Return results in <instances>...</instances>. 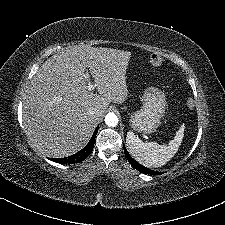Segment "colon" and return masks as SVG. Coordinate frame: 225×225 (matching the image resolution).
Returning a JSON list of instances; mask_svg holds the SVG:
<instances>
[{"mask_svg":"<svg viewBox=\"0 0 225 225\" xmlns=\"http://www.w3.org/2000/svg\"><path fill=\"white\" fill-rule=\"evenodd\" d=\"M150 62L152 65L154 66H160L162 64V59L160 56L158 55H153L151 58H150Z\"/></svg>","mask_w":225,"mask_h":225,"instance_id":"obj_1","label":"colon"}]
</instances>
